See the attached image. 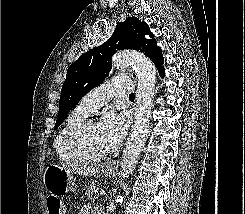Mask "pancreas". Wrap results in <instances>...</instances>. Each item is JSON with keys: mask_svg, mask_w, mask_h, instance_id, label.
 Instances as JSON below:
<instances>
[{"mask_svg": "<svg viewBox=\"0 0 245 214\" xmlns=\"http://www.w3.org/2000/svg\"><path fill=\"white\" fill-rule=\"evenodd\" d=\"M99 188L95 185L92 184L86 192V195L89 199L94 200L95 198L98 197L97 192H98Z\"/></svg>", "mask_w": 245, "mask_h": 214, "instance_id": "pancreas-1", "label": "pancreas"}]
</instances>
